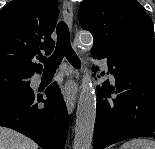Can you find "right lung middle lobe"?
<instances>
[{
  "mask_svg": "<svg viewBox=\"0 0 155 149\" xmlns=\"http://www.w3.org/2000/svg\"><path fill=\"white\" fill-rule=\"evenodd\" d=\"M32 75L9 68H0V97H26L33 94L28 79Z\"/></svg>",
  "mask_w": 155,
  "mask_h": 149,
  "instance_id": "obj_1",
  "label": "right lung middle lobe"
}]
</instances>
